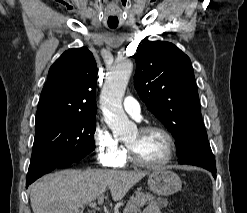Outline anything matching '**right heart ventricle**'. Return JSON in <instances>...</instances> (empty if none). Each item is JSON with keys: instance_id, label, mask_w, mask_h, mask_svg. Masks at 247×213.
<instances>
[{"instance_id": "obj_1", "label": "right heart ventricle", "mask_w": 247, "mask_h": 213, "mask_svg": "<svg viewBox=\"0 0 247 213\" xmlns=\"http://www.w3.org/2000/svg\"><path fill=\"white\" fill-rule=\"evenodd\" d=\"M128 163V159L126 157V153L121 161V163L119 164V166H125Z\"/></svg>"}]
</instances>
